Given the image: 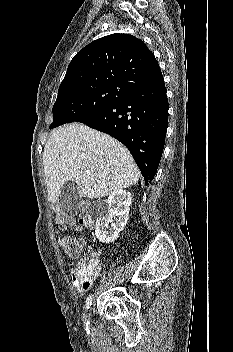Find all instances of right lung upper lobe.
Wrapping results in <instances>:
<instances>
[{
	"label": "right lung upper lobe",
	"instance_id": "cb5924a9",
	"mask_svg": "<svg viewBox=\"0 0 233 352\" xmlns=\"http://www.w3.org/2000/svg\"><path fill=\"white\" fill-rule=\"evenodd\" d=\"M162 77L157 60L142 40L116 33L93 41L73 57L58 95L102 85L134 91Z\"/></svg>",
	"mask_w": 233,
	"mask_h": 352
}]
</instances>
